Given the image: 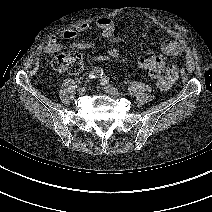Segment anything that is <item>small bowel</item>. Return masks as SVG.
<instances>
[{"instance_id":"1","label":"small bowel","mask_w":212,"mask_h":212,"mask_svg":"<svg viewBox=\"0 0 212 212\" xmlns=\"http://www.w3.org/2000/svg\"><path fill=\"white\" fill-rule=\"evenodd\" d=\"M95 27L100 30L103 38H111L115 32L114 22L107 17H102L96 20L94 23ZM91 28L89 23H80L75 29L65 30L59 36L60 38L70 41L68 43H59L56 37L49 38L44 52L47 54H54L66 49H78V50H93L99 49V47L90 42H74L79 33L88 31ZM161 51L167 56H179L185 51V45L182 40H165L161 44ZM121 53L116 48H108L102 55H96L92 58L93 62H108L120 58ZM151 66H157L163 68L164 60L160 56H151L140 58L137 62V68L140 70H146ZM178 77V68L175 64H170L167 67L166 74L163 81L159 82L158 85L161 90L167 91L171 88L173 83Z\"/></svg>"}]
</instances>
